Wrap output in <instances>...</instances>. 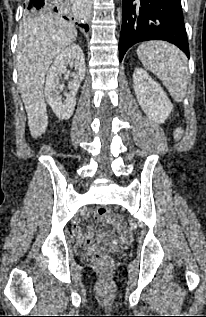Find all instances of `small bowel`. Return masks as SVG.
I'll use <instances>...</instances> for the list:
<instances>
[{
    "mask_svg": "<svg viewBox=\"0 0 206 317\" xmlns=\"http://www.w3.org/2000/svg\"><path fill=\"white\" fill-rule=\"evenodd\" d=\"M91 214L97 218L95 212H92ZM75 234H76L78 240L83 245H87L90 242L91 238L93 237V230L91 228H88L85 232H83L80 228H76ZM98 236H99V238H102V234L99 233ZM119 236H120V240L122 242H126V241H128V239L130 237V231L125 226H121V227H119ZM107 238L113 239V233L110 232L107 235Z\"/></svg>",
    "mask_w": 206,
    "mask_h": 317,
    "instance_id": "small-bowel-1",
    "label": "small bowel"
}]
</instances>
